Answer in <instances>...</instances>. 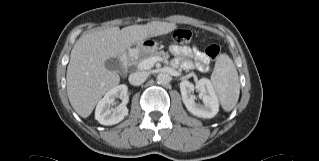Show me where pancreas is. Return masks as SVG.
I'll return each mask as SVG.
<instances>
[{"label":"pancreas","instance_id":"cf45deb5","mask_svg":"<svg viewBox=\"0 0 319 161\" xmlns=\"http://www.w3.org/2000/svg\"><path fill=\"white\" fill-rule=\"evenodd\" d=\"M150 57H163L164 59H168L169 54L165 53L164 51H160V52H153L148 55H141L138 59H132L131 64L138 66L142 61Z\"/></svg>","mask_w":319,"mask_h":161}]
</instances>
